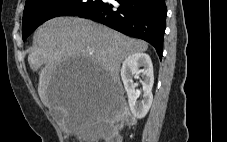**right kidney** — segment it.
Instances as JSON below:
<instances>
[{
  "label": "right kidney",
  "mask_w": 227,
  "mask_h": 142,
  "mask_svg": "<svg viewBox=\"0 0 227 142\" xmlns=\"http://www.w3.org/2000/svg\"><path fill=\"white\" fill-rule=\"evenodd\" d=\"M142 69H139V68ZM142 73L143 99L137 100L139 94L136 91L137 84L134 78H139ZM121 78L127 92L128 102L132 114L137 119H142L148 113L152 100V87L154 83L153 65L151 58L146 53H135L128 56L121 68Z\"/></svg>",
  "instance_id": "ca27d5eb"
}]
</instances>
